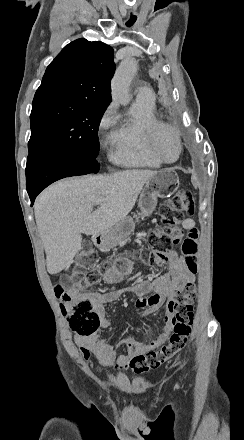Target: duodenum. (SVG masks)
I'll return each instance as SVG.
<instances>
[{
    "mask_svg": "<svg viewBox=\"0 0 244 440\" xmlns=\"http://www.w3.org/2000/svg\"><path fill=\"white\" fill-rule=\"evenodd\" d=\"M110 232H102V233H98L94 236V243L96 246L100 247V248H104L108 245L109 240H110Z\"/></svg>",
    "mask_w": 244,
    "mask_h": 440,
    "instance_id": "duodenum-1",
    "label": "duodenum"
}]
</instances>
